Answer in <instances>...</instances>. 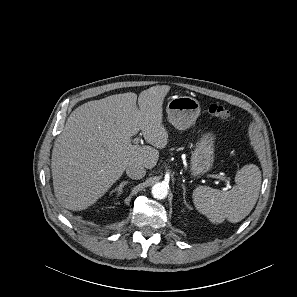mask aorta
Masks as SVG:
<instances>
[{
    "instance_id": "1",
    "label": "aorta",
    "mask_w": 297,
    "mask_h": 297,
    "mask_svg": "<svg viewBox=\"0 0 297 297\" xmlns=\"http://www.w3.org/2000/svg\"><path fill=\"white\" fill-rule=\"evenodd\" d=\"M152 195L157 199H164L168 195V187L166 184L159 182L152 187Z\"/></svg>"
}]
</instances>
